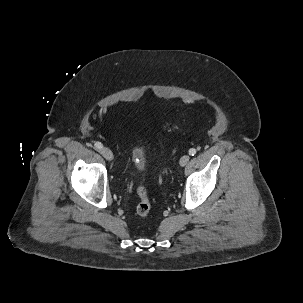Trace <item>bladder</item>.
<instances>
[{"label": "bladder", "mask_w": 303, "mask_h": 303, "mask_svg": "<svg viewBox=\"0 0 303 303\" xmlns=\"http://www.w3.org/2000/svg\"><path fill=\"white\" fill-rule=\"evenodd\" d=\"M146 152L143 147H135L132 151V160L137 169H140L145 164Z\"/></svg>", "instance_id": "31cf9c89"}]
</instances>
